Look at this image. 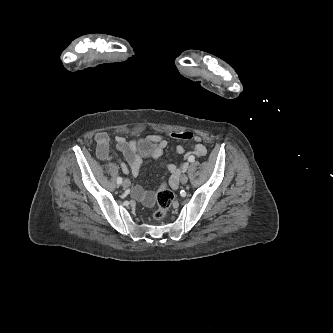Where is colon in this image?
I'll list each match as a JSON object with an SVG mask.
<instances>
[{"label":"colon","mask_w":333,"mask_h":333,"mask_svg":"<svg viewBox=\"0 0 333 333\" xmlns=\"http://www.w3.org/2000/svg\"><path fill=\"white\" fill-rule=\"evenodd\" d=\"M175 196L164 184H162L157 193V209L154 212L155 220H163L167 214L169 208L174 202Z\"/></svg>","instance_id":"colon-1"}]
</instances>
